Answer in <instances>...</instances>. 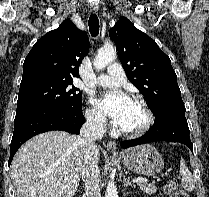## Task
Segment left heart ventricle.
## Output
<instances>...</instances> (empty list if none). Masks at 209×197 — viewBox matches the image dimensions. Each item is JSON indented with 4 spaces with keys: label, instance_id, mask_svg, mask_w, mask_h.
Here are the masks:
<instances>
[{
    "label": "left heart ventricle",
    "instance_id": "1",
    "mask_svg": "<svg viewBox=\"0 0 209 197\" xmlns=\"http://www.w3.org/2000/svg\"><path fill=\"white\" fill-rule=\"evenodd\" d=\"M145 120V115L138 103L135 102L134 109L132 110L129 119L121 127L124 130H134L141 126Z\"/></svg>",
    "mask_w": 209,
    "mask_h": 197
}]
</instances>
